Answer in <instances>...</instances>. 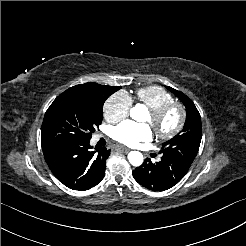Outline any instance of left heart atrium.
Returning <instances> with one entry per match:
<instances>
[{
	"label": "left heart atrium",
	"instance_id": "1",
	"mask_svg": "<svg viewBox=\"0 0 246 246\" xmlns=\"http://www.w3.org/2000/svg\"><path fill=\"white\" fill-rule=\"evenodd\" d=\"M153 131L147 124L126 121L113 129V137L126 145L135 146L152 138Z\"/></svg>",
	"mask_w": 246,
	"mask_h": 246
}]
</instances>
